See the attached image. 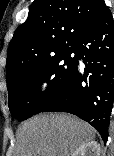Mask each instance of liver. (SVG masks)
Instances as JSON below:
<instances>
[{
    "mask_svg": "<svg viewBox=\"0 0 114 156\" xmlns=\"http://www.w3.org/2000/svg\"><path fill=\"white\" fill-rule=\"evenodd\" d=\"M95 136V129L75 116L39 114L19 127L15 156H70Z\"/></svg>",
    "mask_w": 114,
    "mask_h": 156,
    "instance_id": "obj_1",
    "label": "liver"
}]
</instances>
